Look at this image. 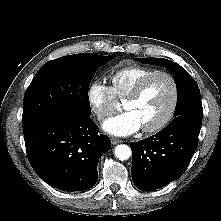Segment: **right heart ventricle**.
Segmentation results:
<instances>
[{
	"instance_id": "right-heart-ventricle-1",
	"label": "right heart ventricle",
	"mask_w": 221,
	"mask_h": 221,
	"mask_svg": "<svg viewBox=\"0 0 221 221\" xmlns=\"http://www.w3.org/2000/svg\"><path fill=\"white\" fill-rule=\"evenodd\" d=\"M155 71L140 65H127L117 69L110 75V89L114 97L125 98L142 78Z\"/></svg>"
}]
</instances>
